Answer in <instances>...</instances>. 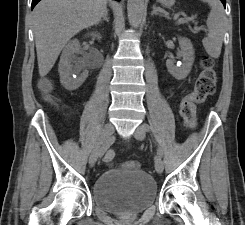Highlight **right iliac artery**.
<instances>
[{
  "instance_id": "obj_1",
  "label": "right iliac artery",
  "mask_w": 245,
  "mask_h": 225,
  "mask_svg": "<svg viewBox=\"0 0 245 225\" xmlns=\"http://www.w3.org/2000/svg\"><path fill=\"white\" fill-rule=\"evenodd\" d=\"M115 141V138H114V136H112L104 145H103V147H102V153H101V155H100V157H102L103 155H104V153H105V151L107 150V148L111 145V144H113V142Z\"/></svg>"
}]
</instances>
